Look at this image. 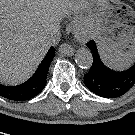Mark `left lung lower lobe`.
<instances>
[{
	"label": "left lung lower lobe",
	"mask_w": 135,
	"mask_h": 135,
	"mask_svg": "<svg viewBox=\"0 0 135 135\" xmlns=\"http://www.w3.org/2000/svg\"><path fill=\"white\" fill-rule=\"evenodd\" d=\"M92 52L93 63L84 75L86 87L98 96L116 98L125 94L135 84V64L124 72H115L107 68L100 60L94 41L87 43Z\"/></svg>",
	"instance_id": "1"
}]
</instances>
